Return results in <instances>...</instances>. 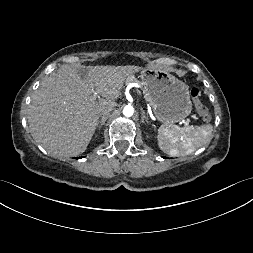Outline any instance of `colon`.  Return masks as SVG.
<instances>
[{"label":"colon","instance_id":"obj_1","mask_svg":"<svg viewBox=\"0 0 253 253\" xmlns=\"http://www.w3.org/2000/svg\"><path fill=\"white\" fill-rule=\"evenodd\" d=\"M190 96H191L192 102L194 104L195 110L198 113V115L203 119H208L209 118V111L200 101L199 90L195 87L191 88Z\"/></svg>","mask_w":253,"mask_h":253}]
</instances>
